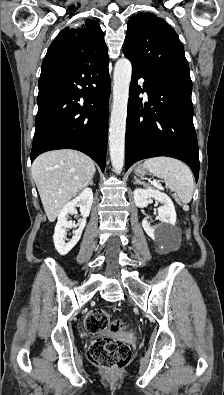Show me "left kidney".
Masks as SVG:
<instances>
[{
	"label": "left kidney",
	"mask_w": 224,
	"mask_h": 395,
	"mask_svg": "<svg viewBox=\"0 0 224 395\" xmlns=\"http://www.w3.org/2000/svg\"><path fill=\"white\" fill-rule=\"evenodd\" d=\"M134 202L137 207L145 208L150 203L151 198L162 203L163 205L158 208V215L160 217L161 223L157 226H151L148 221V217L144 218L142 221V227L146 234L152 238L157 239L165 235L171 226L175 225L176 222V212L174 204L171 198L156 189L151 187L148 188H136L133 192Z\"/></svg>",
	"instance_id": "5707ae66"
}]
</instances>
